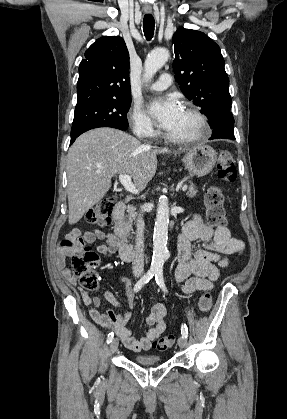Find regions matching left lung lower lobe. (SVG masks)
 Wrapping results in <instances>:
<instances>
[{
	"mask_svg": "<svg viewBox=\"0 0 287 419\" xmlns=\"http://www.w3.org/2000/svg\"><path fill=\"white\" fill-rule=\"evenodd\" d=\"M212 136L210 140L213 139H231L235 140L234 137V119L231 112L225 113L219 123L212 128Z\"/></svg>",
	"mask_w": 287,
	"mask_h": 419,
	"instance_id": "left-lung-lower-lobe-1",
	"label": "left lung lower lobe"
}]
</instances>
